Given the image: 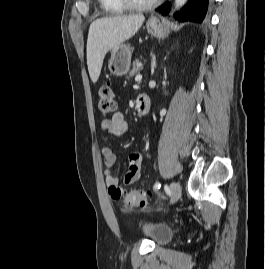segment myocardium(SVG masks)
<instances>
[{
	"mask_svg": "<svg viewBox=\"0 0 265 269\" xmlns=\"http://www.w3.org/2000/svg\"><path fill=\"white\" fill-rule=\"evenodd\" d=\"M124 6L132 10H144L157 5L161 0H148L144 2L136 0H119Z\"/></svg>",
	"mask_w": 265,
	"mask_h": 269,
	"instance_id": "f54148a6",
	"label": "myocardium"
}]
</instances>
